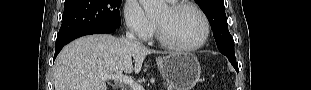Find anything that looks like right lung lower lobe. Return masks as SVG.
<instances>
[{"mask_svg": "<svg viewBox=\"0 0 311 90\" xmlns=\"http://www.w3.org/2000/svg\"><path fill=\"white\" fill-rule=\"evenodd\" d=\"M117 28H108V27H89V28H83L80 30H77L75 32H72L68 35L62 36L57 38L56 40V47H55V55H54V60L60 50L63 48L64 45L69 43L70 41L84 36V35H90V34H99V33H112L116 30Z\"/></svg>", "mask_w": 311, "mask_h": 90, "instance_id": "right-lung-lower-lobe-1", "label": "right lung lower lobe"}]
</instances>
